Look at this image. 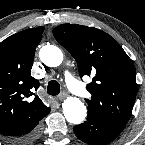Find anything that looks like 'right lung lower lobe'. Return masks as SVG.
<instances>
[{"instance_id": "obj_1", "label": "right lung lower lobe", "mask_w": 145, "mask_h": 145, "mask_svg": "<svg viewBox=\"0 0 145 145\" xmlns=\"http://www.w3.org/2000/svg\"><path fill=\"white\" fill-rule=\"evenodd\" d=\"M50 112V108L46 111L43 119ZM40 119V120H41ZM39 120V121H40ZM39 121L19 130L15 131H1L0 137L10 141H29L36 137L39 131Z\"/></svg>"}]
</instances>
